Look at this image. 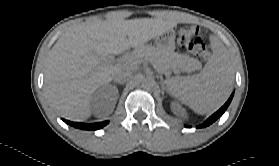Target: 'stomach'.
I'll return each instance as SVG.
<instances>
[{
    "mask_svg": "<svg viewBox=\"0 0 279 166\" xmlns=\"http://www.w3.org/2000/svg\"><path fill=\"white\" fill-rule=\"evenodd\" d=\"M175 32L173 29L166 31L155 38L156 46L161 51L173 52L175 49Z\"/></svg>",
    "mask_w": 279,
    "mask_h": 166,
    "instance_id": "1",
    "label": "stomach"
}]
</instances>
